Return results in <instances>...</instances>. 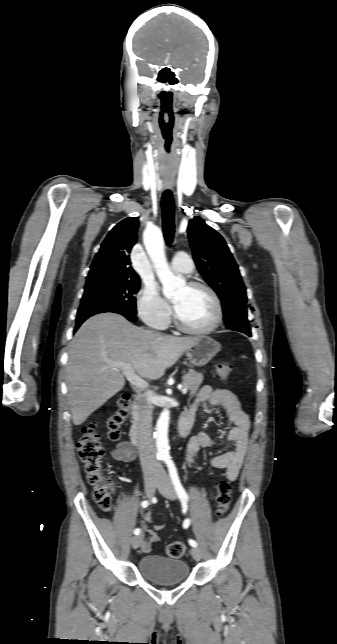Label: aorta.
Instances as JSON below:
<instances>
[{
    "mask_svg": "<svg viewBox=\"0 0 337 644\" xmlns=\"http://www.w3.org/2000/svg\"><path fill=\"white\" fill-rule=\"evenodd\" d=\"M144 243L156 274L162 283L163 294L166 297L173 296L179 288L185 286V280L180 276H175L171 272L167 263L163 238L159 229L155 228L147 231L144 235ZM169 420L170 411L168 408H165L159 416L155 431L157 452L162 458L170 457L168 440Z\"/></svg>",
    "mask_w": 337,
    "mask_h": 644,
    "instance_id": "1",
    "label": "aorta"
}]
</instances>
